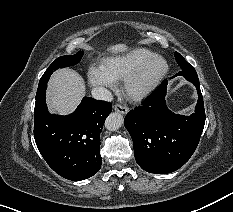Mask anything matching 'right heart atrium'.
Wrapping results in <instances>:
<instances>
[{
  "instance_id": "right-heart-atrium-1",
  "label": "right heart atrium",
  "mask_w": 233,
  "mask_h": 212,
  "mask_svg": "<svg viewBox=\"0 0 233 212\" xmlns=\"http://www.w3.org/2000/svg\"><path fill=\"white\" fill-rule=\"evenodd\" d=\"M87 76L89 83L100 90L115 87V80L101 66L90 67Z\"/></svg>"
}]
</instances>
